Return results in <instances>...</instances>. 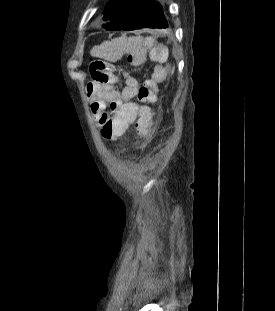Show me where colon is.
<instances>
[{
	"label": "colon",
	"instance_id": "obj_1",
	"mask_svg": "<svg viewBox=\"0 0 275 311\" xmlns=\"http://www.w3.org/2000/svg\"><path fill=\"white\" fill-rule=\"evenodd\" d=\"M90 73L95 81L104 82L112 75L113 67L107 61L95 60L90 64ZM137 96L140 101L155 102L157 99V85L151 79L145 80L138 87ZM101 121V135L107 141L116 140L121 135L120 130L130 129L129 118L101 119Z\"/></svg>",
	"mask_w": 275,
	"mask_h": 311
}]
</instances>
